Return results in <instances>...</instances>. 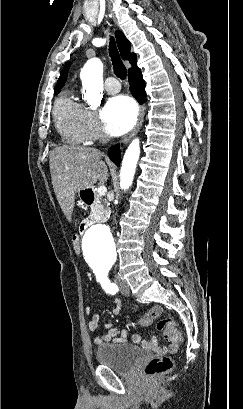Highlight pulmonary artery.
<instances>
[{
    "mask_svg": "<svg viewBox=\"0 0 243 409\" xmlns=\"http://www.w3.org/2000/svg\"><path fill=\"white\" fill-rule=\"evenodd\" d=\"M120 84L114 77H109L105 81V89L108 93L114 94L120 91Z\"/></svg>",
    "mask_w": 243,
    "mask_h": 409,
    "instance_id": "1",
    "label": "pulmonary artery"
}]
</instances>
